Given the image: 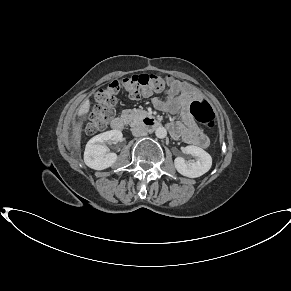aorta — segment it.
<instances>
[{
    "instance_id": "obj_1",
    "label": "aorta",
    "mask_w": 291,
    "mask_h": 291,
    "mask_svg": "<svg viewBox=\"0 0 291 291\" xmlns=\"http://www.w3.org/2000/svg\"><path fill=\"white\" fill-rule=\"evenodd\" d=\"M155 135L160 139L165 138L167 136V130L164 127H158L155 131Z\"/></svg>"
}]
</instances>
